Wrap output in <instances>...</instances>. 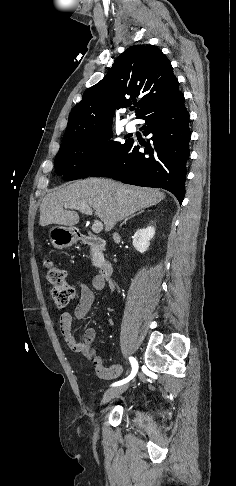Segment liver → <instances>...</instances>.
I'll list each match as a JSON object with an SVG mask.
<instances>
[{
  "mask_svg": "<svg viewBox=\"0 0 236 486\" xmlns=\"http://www.w3.org/2000/svg\"><path fill=\"white\" fill-rule=\"evenodd\" d=\"M165 194L150 188H141L114 182L109 179L88 178L48 193L40 205V225L58 224L72 227L79 222L75 211L93 208L95 215L109 232L116 222L144 208L158 204ZM70 208V209H71Z\"/></svg>",
  "mask_w": 236,
  "mask_h": 486,
  "instance_id": "6515ba94",
  "label": "liver"
}]
</instances>
